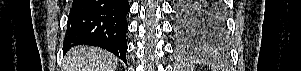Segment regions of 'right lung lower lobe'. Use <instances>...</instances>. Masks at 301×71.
Segmentation results:
<instances>
[{"instance_id": "98d812e1", "label": "right lung lower lobe", "mask_w": 301, "mask_h": 71, "mask_svg": "<svg viewBox=\"0 0 301 71\" xmlns=\"http://www.w3.org/2000/svg\"><path fill=\"white\" fill-rule=\"evenodd\" d=\"M128 0H74L68 16L63 48L93 45L126 63Z\"/></svg>"}]
</instances>
